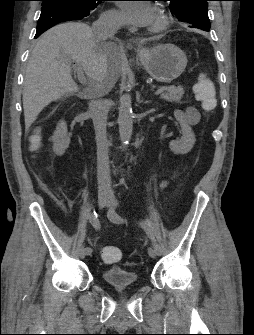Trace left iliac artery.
<instances>
[{
	"mask_svg": "<svg viewBox=\"0 0 254 335\" xmlns=\"http://www.w3.org/2000/svg\"><path fill=\"white\" fill-rule=\"evenodd\" d=\"M111 218L114 222H117V223H122L124 221H126L125 218H123L122 216H120L117 212L113 211L111 213ZM141 226L143 227V229L145 230L148 238L150 239L151 241V244L154 248V250L156 251L157 254H161L163 252L162 250V247L160 246V244L157 242L155 236H154V233L152 232L151 228L145 224V223H141Z\"/></svg>",
	"mask_w": 254,
	"mask_h": 335,
	"instance_id": "44dca946",
	"label": "left iliac artery"
}]
</instances>
